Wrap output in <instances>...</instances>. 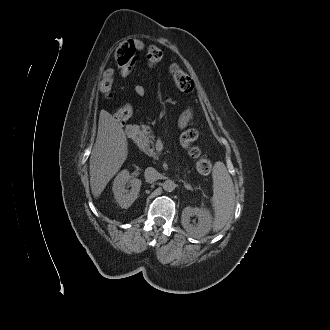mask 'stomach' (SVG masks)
Listing matches in <instances>:
<instances>
[{"label": "stomach", "instance_id": "1", "mask_svg": "<svg viewBox=\"0 0 330 330\" xmlns=\"http://www.w3.org/2000/svg\"><path fill=\"white\" fill-rule=\"evenodd\" d=\"M191 119V111L190 110H186L185 112H183L179 118V127L181 129H184L188 122Z\"/></svg>", "mask_w": 330, "mask_h": 330}]
</instances>
